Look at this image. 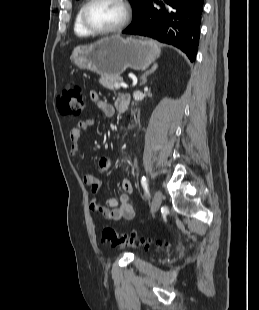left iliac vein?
Returning a JSON list of instances; mask_svg holds the SVG:
<instances>
[{
    "instance_id": "4c4485c4",
    "label": "left iliac vein",
    "mask_w": 259,
    "mask_h": 310,
    "mask_svg": "<svg viewBox=\"0 0 259 310\" xmlns=\"http://www.w3.org/2000/svg\"><path fill=\"white\" fill-rule=\"evenodd\" d=\"M162 203V192L160 190H157L154 194V202L151 208V214H154L158 211Z\"/></svg>"
}]
</instances>
